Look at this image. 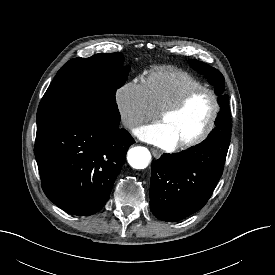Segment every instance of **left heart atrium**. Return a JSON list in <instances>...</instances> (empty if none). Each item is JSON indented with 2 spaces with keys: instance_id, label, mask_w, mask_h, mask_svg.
Segmentation results:
<instances>
[{
  "instance_id": "left-heart-atrium-1",
  "label": "left heart atrium",
  "mask_w": 275,
  "mask_h": 275,
  "mask_svg": "<svg viewBox=\"0 0 275 275\" xmlns=\"http://www.w3.org/2000/svg\"><path fill=\"white\" fill-rule=\"evenodd\" d=\"M135 134L143 141L156 146L171 149L177 142L171 132L162 122H156L135 130Z\"/></svg>"
}]
</instances>
